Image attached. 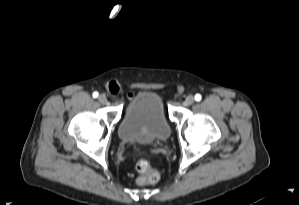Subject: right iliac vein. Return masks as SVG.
Returning a JSON list of instances; mask_svg holds the SVG:
<instances>
[{
	"instance_id": "obj_1",
	"label": "right iliac vein",
	"mask_w": 299,
	"mask_h": 205,
	"mask_svg": "<svg viewBox=\"0 0 299 205\" xmlns=\"http://www.w3.org/2000/svg\"><path fill=\"white\" fill-rule=\"evenodd\" d=\"M98 100L101 104H105L107 102V98L104 94H101L99 97H98Z\"/></svg>"
}]
</instances>
